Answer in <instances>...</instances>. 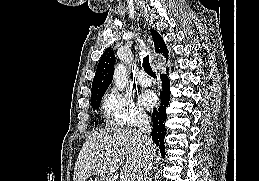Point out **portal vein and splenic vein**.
<instances>
[{
	"label": "portal vein and splenic vein",
	"instance_id": "1",
	"mask_svg": "<svg viewBox=\"0 0 259 181\" xmlns=\"http://www.w3.org/2000/svg\"><path fill=\"white\" fill-rule=\"evenodd\" d=\"M120 181H130L129 175L126 172L121 173L120 174Z\"/></svg>",
	"mask_w": 259,
	"mask_h": 181
}]
</instances>
